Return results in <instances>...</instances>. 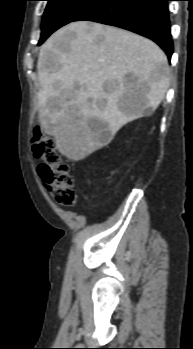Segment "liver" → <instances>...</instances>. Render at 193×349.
<instances>
[{
    "mask_svg": "<svg viewBox=\"0 0 193 349\" xmlns=\"http://www.w3.org/2000/svg\"><path fill=\"white\" fill-rule=\"evenodd\" d=\"M37 71L40 125L73 161L155 111L169 84L167 57L153 41L85 21L69 23L49 37Z\"/></svg>",
    "mask_w": 193,
    "mask_h": 349,
    "instance_id": "liver-1",
    "label": "liver"
}]
</instances>
